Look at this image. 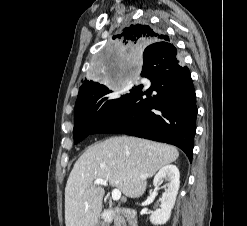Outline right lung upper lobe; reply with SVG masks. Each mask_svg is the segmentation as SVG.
<instances>
[{"label": "right lung upper lobe", "instance_id": "obj_1", "mask_svg": "<svg viewBox=\"0 0 247 226\" xmlns=\"http://www.w3.org/2000/svg\"><path fill=\"white\" fill-rule=\"evenodd\" d=\"M120 40L123 45L127 44H143L151 45L154 43H165L169 41V37L158 30L146 24H132L125 27L119 35L113 36V39ZM98 87L97 82L85 80L79 89L77 100L90 94ZM76 100V101H77Z\"/></svg>", "mask_w": 247, "mask_h": 226}]
</instances>
